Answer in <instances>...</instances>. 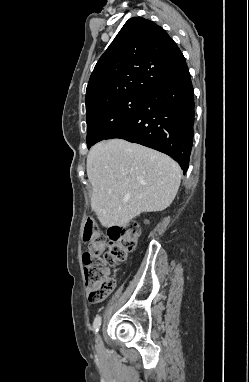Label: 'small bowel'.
<instances>
[{
  "mask_svg": "<svg viewBox=\"0 0 249 382\" xmlns=\"http://www.w3.org/2000/svg\"><path fill=\"white\" fill-rule=\"evenodd\" d=\"M109 272V270L108 269H106V273H108Z\"/></svg>",
  "mask_w": 249,
  "mask_h": 382,
  "instance_id": "small-bowel-1",
  "label": "small bowel"
}]
</instances>
